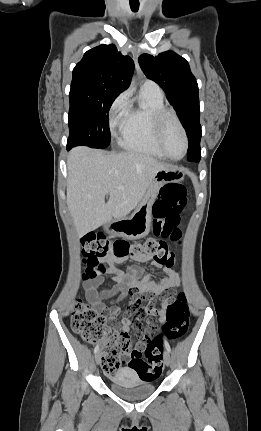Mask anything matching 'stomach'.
<instances>
[{
	"label": "stomach",
	"instance_id": "stomach-1",
	"mask_svg": "<svg viewBox=\"0 0 261 431\" xmlns=\"http://www.w3.org/2000/svg\"><path fill=\"white\" fill-rule=\"evenodd\" d=\"M185 174V170L179 167H169L159 171L135 211L129 217L104 224V230L112 236L128 239H138L148 235L152 221V207L161 187L167 183L184 180Z\"/></svg>",
	"mask_w": 261,
	"mask_h": 431
}]
</instances>
